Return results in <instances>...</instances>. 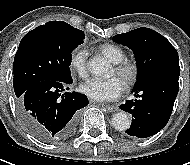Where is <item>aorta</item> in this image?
Wrapping results in <instances>:
<instances>
[{
    "label": "aorta",
    "instance_id": "762f6f07",
    "mask_svg": "<svg viewBox=\"0 0 190 165\" xmlns=\"http://www.w3.org/2000/svg\"><path fill=\"white\" fill-rule=\"evenodd\" d=\"M89 71L97 77H106L109 74L110 65L109 63L101 58H92L88 63ZM131 124L129 115L125 112L116 113L112 117V125L116 130L124 131L129 129Z\"/></svg>",
    "mask_w": 190,
    "mask_h": 165
}]
</instances>
